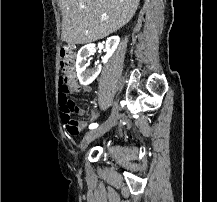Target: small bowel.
Returning a JSON list of instances; mask_svg holds the SVG:
<instances>
[{
	"instance_id": "small-bowel-1",
	"label": "small bowel",
	"mask_w": 217,
	"mask_h": 202,
	"mask_svg": "<svg viewBox=\"0 0 217 202\" xmlns=\"http://www.w3.org/2000/svg\"><path fill=\"white\" fill-rule=\"evenodd\" d=\"M69 79H70V83H71V84L73 85V87L75 88V91L79 90L80 85H79L78 82L75 80L74 75L70 74V75H69ZM83 90L87 92V91H89V88H88V87H84ZM77 113L80 114V115H82V114L85 113V110H84L83 108H78ZM90 118H91L92 120H95V119L97 118L96 113H95V112H91V113H90ZM79 124H80V127H81V128H84V127L86 126V123H84V122H80ZM121 131H122L121 128H119V129H118V132H121Z\"/></svg>"
}]
</instances>
